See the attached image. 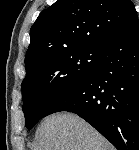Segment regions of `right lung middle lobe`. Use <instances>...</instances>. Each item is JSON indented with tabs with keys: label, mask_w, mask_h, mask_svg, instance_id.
<instances>
[{
	"label": "right lung middle lobe",
	"mask_w": 139,
	"mask_h": 150,
	"mask_svg": "<svg viewBox=\"0 0 139 150\" xmlns=\"http://www.w3.org/2000/svg\"><path fill=\"white\" fill-rule=\"evenodd\" d=\"M104 48L56 55L26 75L22 82L25 125L31 129L47 110L91 72Z\"/></svg>",
	"instance_id": "dd1d6c3e"
}]
</instances>
